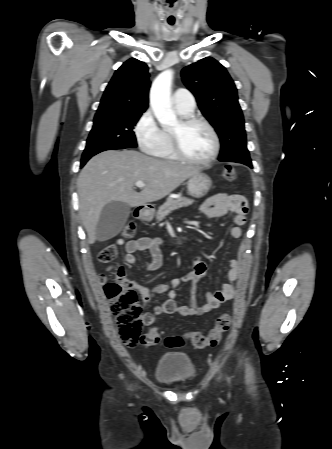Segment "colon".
<instances>
[{"label": "colon", "instance_id": "colon-1", "mask_svg": "<svg viewBox=\"0 0 332 449\" xmlns=\"http://www.w3.org/2000/svg\"><path fill=\"white\" fill-rule=\"evenodd\" d=\"M223 176L228 181L236 178V169L233 165H226ZM136 233V225L129 222L125 225L122 235L124 238H132ZM123 244V239H118L104 247L97 256L98 262L106 264L111 262ZM104 292L111 302V311L117 320L118 332L123 343L130 347L138 345L152 346L160 342V332L157 328L150 329L147 333L142 332V308L138 303L137 292L127 281H111L104 284ZM231 325L229 314L220 315L215 326L207 335L199 332H189L185 335L169 336L165 344L169 347H177L189 341L196 348H204L217 345L224 333Z\"/></svg>", "mask_w": 332, "mask_h": 449}]
</instances>
